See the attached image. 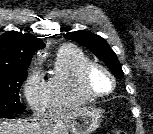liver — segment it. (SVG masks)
Segmentation results:
<instances>
[{"label":"liver","mask_w":153,"mask_h":134,"mask_svg":"<svg viewBox=\"0 0 153 134\" xmlns=\"http://www.w3.org/2000/svg\"><path fill=\"white\" fill-rule=\"evenodd\" d=\"M78 110L79 108H72L56 111L37 116L30 121L0 120V134H67Z\"/></svg>","instance_id":"obj_1"}]
</instances>
